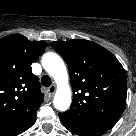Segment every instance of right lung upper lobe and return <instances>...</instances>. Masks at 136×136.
Here are the masks:
<instances>
[{"label":"right lung upper lobe","instance_id":"cb5924a9","mask_svg":"<svg viewBox=\"0 0 136 136\" xmlns=\"http://www.w3.org/2000/svg\"><path fill=\"white\" fill-rule=\"evenodd\" d=\"M46 46L20 34L0 39V136H17L33 126L44 94L31 65Z\"/></svg>","mask_w":136,"mask_h":136}]
</instances>
